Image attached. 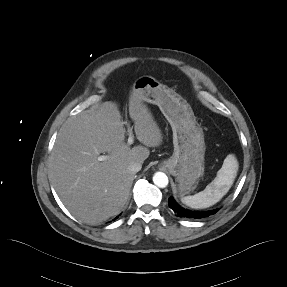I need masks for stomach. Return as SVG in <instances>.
<instances>
[{"instance_id": "0dacf381", "label": "stomach", "mask_w": 287, "mask_h": 287, "mask_svg": "<svg viewBox=\"0 0 287 287\" xmlns=\"http://www.w3.org/2000/svg\"><path fill=\"white\" fill-rule=\"evenodd\" d=\"M133 93L142 102L157 105L173 131V155L163 161L176 179L181 197L194 191L204 174L205 141L191 106L174 90L152 76L144 75L133 84Z\"/></svg>"}]
</instances>
